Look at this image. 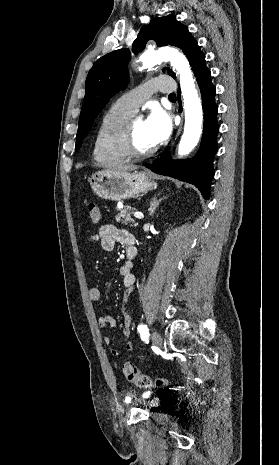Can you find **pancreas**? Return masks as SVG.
<instances>
[{
	"label": "pancreas",
	"mask_w": 279,
	"mask_h": 465,
	"mask_svg": "<svg viewBox=\"0 0 279 465\" xmlns=\"http://www.w3.org/2000/svg\"><path fill=\"white\" fill-rule=\"evenodd\" d=\"M119 211L118 215L115 217L117 222H122L125 225L130 226H137V223H134L133 218H131V214L133 209L130 206H124L123 208H118Z\"/></svg>",
	"instance_id": "cf45deb5"
}]
</instances>
